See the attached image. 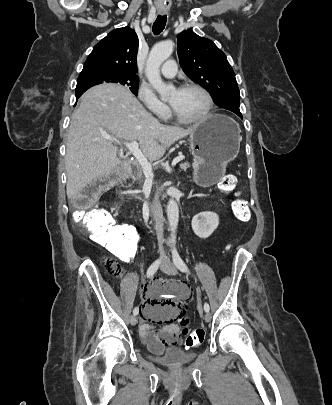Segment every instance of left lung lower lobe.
Returning <instances> with one entry per match:
<instances>
[{
  "mask_svg": "<svg viewBox=\"0 0 332 405\" xmlns=\"http://www.w3.org/2000/svg\"><path fill=\"white\" fill-rule=\"evenodd\" d=\"M232 112H234V113L237 114L240 118H242V114H241L240 109H239V104H238V105H235L234 110H233Z\"/></svg>",
  "mask_w": 332,
  "mask_h": 405,
  "instance_id": "1",
  "label": "left lung lower lobe"
}]
</instances>
